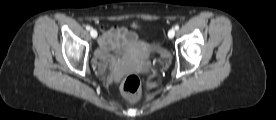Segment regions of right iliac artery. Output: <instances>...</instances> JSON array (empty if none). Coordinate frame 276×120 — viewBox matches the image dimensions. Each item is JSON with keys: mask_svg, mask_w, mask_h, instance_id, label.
I'll list each match as a JSON object with an SVG mask.
<instances>
[{"mask_svg": "<svg viewBox=\"0 0 276 120\" xmlns=\"http://www.w3.org/2000/svg\"><path fill=\"white\" fill-rule=\"evenodd\" d=\"M86 30H91V27L88 25V26H86Z\"/></svg>", "mask_w": 276, "mask_h": 120, "instance_id": "82829eb1", "label": "right iliac artery"}]
</instances>
